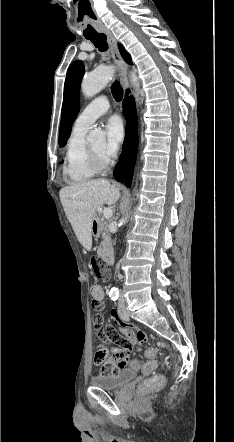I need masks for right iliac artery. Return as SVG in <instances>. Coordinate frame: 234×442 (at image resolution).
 Segmentation results:
<instances>
[{
	"mask_svg": "<svg viewBox=\"0 0 234 442\" xmlns=\"http://www.w3.org/2000/svg\"><path fill=\"white\" fill-rule=\"evenodd\" d=\"M109 296H110V298L112 299V300H117L118 299V297H119V293L118 292H110L109 293Z\"/></svg>",
	"mask_w": 234,
	"mask_h": 442,
	"instance_id": "right-iliac-artery-1",
	"label": "right iliac artery"
}]
</instances>
